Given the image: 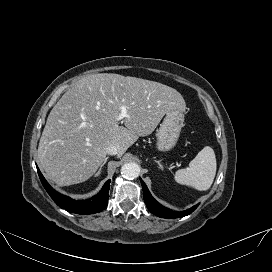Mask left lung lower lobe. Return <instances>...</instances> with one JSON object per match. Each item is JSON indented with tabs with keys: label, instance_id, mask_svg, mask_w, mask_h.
Wrapping results in <instances>:
<instances>
[{
	"label": "left lung lower lobe",
	"instance_id": "left-lung-lower-lobe-1",
	"mask_svg": "<svg viewBox=\"0 0 272 272\" xmlns=\"http://www.w3.org/2000/svg\"><path fill=\"white\" fill-rule=\"evenodd\" d=\"M142 187H143V194H144V200L146 203L147 208L149 209L150 212L155 214L158 217L162 218H181L184 216H187L191 214L197 207L198 205L193 206L192 208L177 212V211H172L161 204H159L150 194L146 184L140 179Z\"/></svg>",
	"mask_w": 272,
	"mask_h": 272
}]
</instances>
